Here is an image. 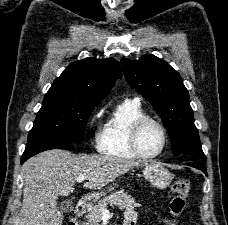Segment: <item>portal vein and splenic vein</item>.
<instances>
[{
  "label": "portal vein and splenic vein",
  "mask_w": 228,
  "mask_h": 225,
  "mask_svg": "<svg viewBox=\"0 0 228 225\" xmlns=\"http://www.w3.org/2000/svg\"><path fill=\"white\" fill-rule=\"evenodd\" d=\"M77 183H82V181H86V177H77ZM88 181H92V179H88ZM109 211L107 209H103L102 215H108Z\"/></svg>",
  "instance_id": "obj_1"
}]
</instances>
